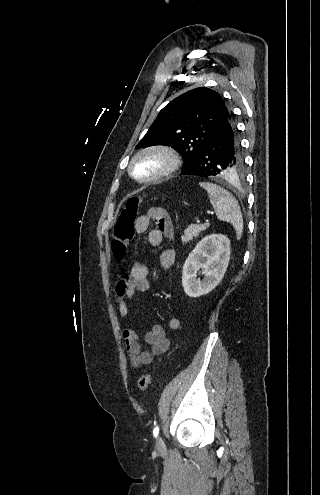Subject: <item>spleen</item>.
I'll return each mask as SVG.
<instances>
[{"label":"spleen","mask_w":320,"mask_h":495,"mask_svg":"<svg viewBox=\"0 0 320 495\" xmlns=\"http://www.w3.org/2000/svg\"><path fill=\"white\" fill-rule=\"evenodd\" d=\"M199 185L208 192L217 218L220 221L230 223L236 231L237 240H240L243 232V219L236 198L216 184L201 182Z\"/></svg>","instance_id":"spleen-1"}]
</instances>
